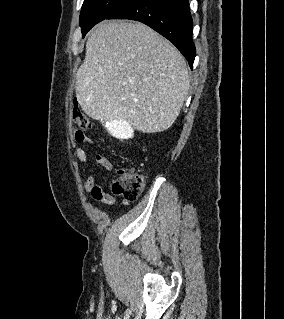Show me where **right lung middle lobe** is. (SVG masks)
<instances>
[{
  "label": "right lung middle lobe",
  "instance_id": "dd1d6c3e",
  "mask_svg": "<svg viewBox=\"0 0 284 319\" xmlns=\"http://www.w3.org/2000/svg\"><path fill=\"white\" fill-rule=\"evenodd\" d=\"M132 0H84L79 25L83 37L97 23Z\"/></svg>",
  "mask_w": 284,
  "mask_h": 319
}]
</instances>
